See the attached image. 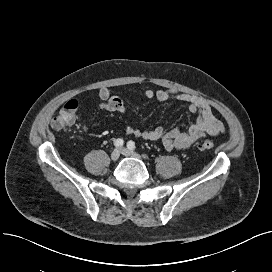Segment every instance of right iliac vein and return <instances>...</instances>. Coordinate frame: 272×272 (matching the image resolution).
Returning <instances> with one entry per match:
<instances>
[{
    "mask_svg": "<svg viewBox=\"0 0 272 272\" xmlns=\"http://www.w3.org/2000/svg\"><path fill=\"white\" fill-rule=\"evenodd\" d=\"M110 157L112 161H117L120 157V151L118 149H114Z\"/></svg>",
    "mask_w": 272,
    "mask_h": 272,
    "instance_id": "right-iliac-vein-1",
    "label": "right iliac vein"
}]
</instances>
